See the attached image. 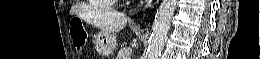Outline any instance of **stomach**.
Masks as SVG:
<instances>
[{
    "mask_svg": "<svg viewBox=\"0 0 261 59\" xmlns=\"http://www.w3.org/2000/svg\"><path fill=\"white\" fill-rule=\"evenodd\" d=\"M94 44L96 51L100 55L110 57L116 48V36L114 34L100 32L96 35Z\"/></svg>",
    "mask_w": 261,
    "mask_h": 59,
    "instance_id": "1",
    "label": "stomach"
}]
</instances>
